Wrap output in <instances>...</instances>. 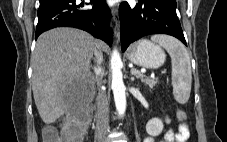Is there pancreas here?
Listing matches in <instances>:
<instances>
[{
  "instance_id": "pancreas-1",
  "label": "pancreas",
  "mask_w": 227,
  "mask_h": 142,
  "mask_svg": "<svg viewBox=\"0 0 227 142\" xmlns=\"http://www.w3.org/2000/svg\"><path fill=\"white\" fill-rule=\"evenodd\" d=\"M137 77L140 78L141 82L145 83L149 87H154L158 83L157 78H149L142 74H137Z\"/></svg>"
}]
</instances>
